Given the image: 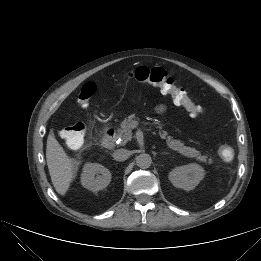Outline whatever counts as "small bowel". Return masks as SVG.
<instances>
[{
	"label": "small bowel",
	"mask_w": 261,
	"mask_h": 261,
	"mask_svg": "<svg viewBox=\"0 0 261 261\" xmlns=\"http://www.w3.org/2000/svg\"><path fill=\"white\" fill-rule=\"evenodd\" d=\"M164 109H165V107H164V106L160 107V110H162V111H163Z\"/></svg>",
	"instance_id": "small-bowel-1"
}]
</instances>
